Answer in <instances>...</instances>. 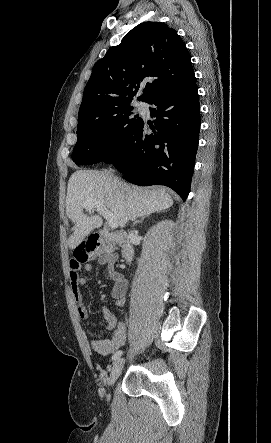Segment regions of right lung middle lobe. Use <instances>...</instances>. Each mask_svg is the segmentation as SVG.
<instances>
[{"instance_id": "obj_1", "label": "right lung middle lobe", "mask_w": 271, "mask_h": 443, "mask_svg": "<svg viewBox=\"0 0 271 443\" xmlns=\"http://www.w3.org/2000/svg\"><path fill=\"white\" fill-rule=\"evenodd\" d=\"M133 109L127 104L98 118L78 119L72 160L76 164L110 161L128 134L142 122L137 115L132 117Z\"/></svg>"}]
</instances>
